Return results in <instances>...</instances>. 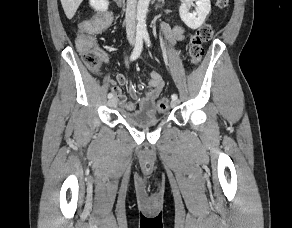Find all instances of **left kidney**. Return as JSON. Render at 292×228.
Returning a JSON list of instances; mask_svg holds the SVG:
<instances>
[{
	"label": "left kidney",
	"instance_id": "obj_1",
	"mask_svg": "<svg viewBox=\"0 0 292 228\" xmlns=\"http://www.w3.org/2000/svg\"><path fill=\"white\" fill-rule=\"evenodd\" d=\"M195 2L196 8L190 13V7ZM211 11L210 0H184L179 8V15L182 21L191 29L199 28Z\"/></svg>",
	"mask_w": 292,
	"mask_h": 228
}]
</instances>
